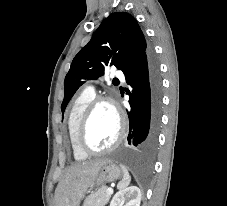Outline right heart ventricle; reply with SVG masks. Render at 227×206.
<instances>
[{
    "instance_id": "obj_1",
    "label": "right heart ventricle",
    "mask_w": 227,
    "mask_h": 206,
    "mask_svg": "<svg viewBox=\"0 0 227 206\" xmlns=\"http://www.w3.org/2000/svg\"><path fill=\"white\" fill-rule=\"evenodd\" d=\"M93 98H94L93 92L85 90L82 93H80L73 101L67 117L66 128L69 145L71 148L73 158L78 161L85 160L88 157V155L82 152L76 144L77 126L84 109Z\"/></svg>"
}]
</instances>
